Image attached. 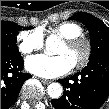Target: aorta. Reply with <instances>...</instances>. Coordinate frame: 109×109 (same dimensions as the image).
Instances as JSON below:
<instances>
[{"label": "aorta", "mask_w": 109, "mask_h": 109, "mask_svg": "<svg viewBox=\"0 0 109 109\" xmlns=\"http://www.w3.org/2000/svg\"><path fill=\"white\" fill-rule=\"evenodd\" d=\"M56 44H57V37L49 36L46 39V50L48 52L53 51L54 46ZM62 91H63V88L59 83H51L47 88L48 95L53 99L59 98L62 94Z\"/></svg>", "instance_id": "obj_1"}]
</instances>
